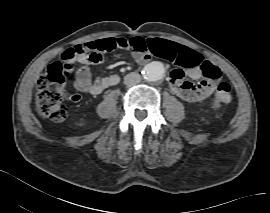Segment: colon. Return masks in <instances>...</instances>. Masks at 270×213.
<instances>
[{"mask_svg":"<svg viewBox=\"0 0 270 213\" xmlns=\"http://www.w3.org/2000/svg\"><path fill=\"white\" fill-rule=\"evenodd\" d=\"M128 49L134 54L146 53L148 43L141 37L130 39L119 38L115 41V49ZM82 49L71 47L63 53V61L51 63L36 82L35 103L40 115L52 121L60 122L67 117L65 101H74L75 95H69L65 83L73 75V61L78 59ZM149 54H146L148 57ZM201 71L206 81L215 85V93L211 104L215 109L227 106L231 102V87L226 81H219L218 68L209 61L201 64Z\"/></svg>","mask_w":270,"mask_h":213,"instance_id":"1","label":"colon"}]
</instances>
